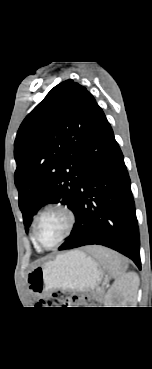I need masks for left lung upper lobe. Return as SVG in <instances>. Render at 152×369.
<instances>
[{"label": "left lung upper lobe", "mask_w": 152, "mask_h": 369, "mask_svg": "<svg viewBox=\"0 0 152 369\" xmlns=\"http://www.w3.org/2000/svg\"><path fill=\"white\" fill-rule=\"evenodd\" d=\"M100 109L85 87L69 79L22 122L14 143V180L26 231L47 203L66 204L76 215L81 159Z\"/></svg>", "instance_id": "left-lung-upper-lobe-1"}]
</instances>
